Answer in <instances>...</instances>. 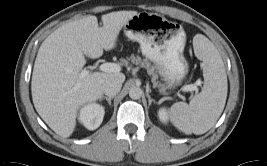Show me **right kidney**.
I'll list each match as a JSON object with an SVG mask.
<instances>
[{"label": "right kidney", "mask_w": 267, "mask_h": 166, "mask_svg": "<svg viewBox=\"0 0 267 166\" xmlns=\"http://www.w3.org/2000/svg\"><path fill=\"white\" fill-rule=\"evenodd\" d=\"M104 114L103 106L97 103H90L80 110L79 120L87 129L95 130L101 125Z\"/></svg>", "instance_id": "obj_1"}]
</instances>
